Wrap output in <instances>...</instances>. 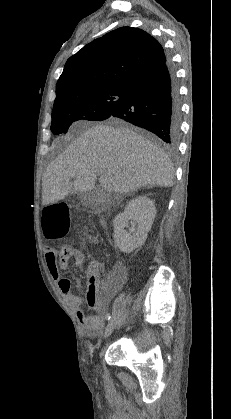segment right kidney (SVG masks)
<instances>
[{"instance_id":"obj_1","label":"right kidney","mask_w":231,"mask_h":419,"mask_svg":"<svg viewBox=\"0 0 231 419\" xmlns=\"http://www.w3.org/2000/svg\"><path fill=\"white\" fill-rule=\"evenodd\" d=\"M155 214L154 202L146 196H139L127 203L123 213L116 215L113 220V237L121 252L131 253L144 244ZM126 227L129 228L128 231L125 230Z\"/></svg>"}]
</instances>
